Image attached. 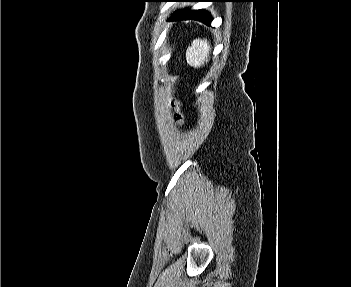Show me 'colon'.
Returning <instances> with one entry per match:
<instances>
[{"label": "colon", "mask_w": 351, "mask_h": 287, "mask_svg": "<svg viewBox=\"0 0 351 287\" xmlns=\"http://www.w3.org/2000/svg\"><path fill=\"white\" fill-rule=\"evenodd\" d=\"M173 107H174V110H175V120L177 122H182L183 121V117L179 111V103L177 101H175L173 103Z\"/></svg>", "instance_id": "obj_1"}]
</instances>
